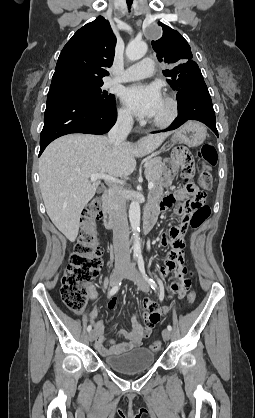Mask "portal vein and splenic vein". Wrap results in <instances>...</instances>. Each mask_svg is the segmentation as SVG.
<instances>
[{
    "instance_id": "portal-vein-and-splenic-vein-1",
    "label": "portal vein and splenic vein",
    "mask_w": 255,
    "mask_h": 418,
    "mask_svg": "<svg viewBox=\"0 0 255 418\" xmlns=\"http://www.w3.org/2000/svg\"><path fill=\"white\" fill-rule=\"evenodd\" d=\"M89 177H90V179H91L92 182H95L98 179H103V180H105L107 182H117V183H120V184H124L123 181H121V180H119V179H117L115 177H112L109 174H90ZM153 187H154V184H153L152 181H150L148 183V189L151 190Z\"/></svg>"
}]
</instances>
